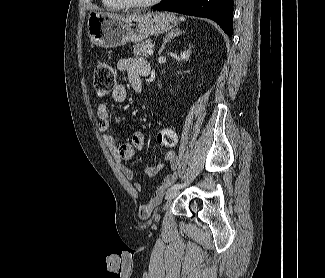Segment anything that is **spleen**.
<instances>
[{
	"label": "spleen",
	"instance_id": "obj_1",
	"mask_svg": "<svg viewBox=\"0 0 325 278\" xmlns=\"http://www.w3.org/2000/svg\"><path fill=\"white\" fill-rule=\"evenodd\" d=\"M179 19L181 20V21H184L185 20V18L184 17H179Z\"/></svg>",
	"mask_w": 325,
	"mask_h": 278
}]
</instances>
